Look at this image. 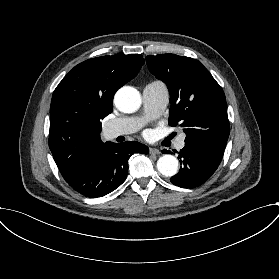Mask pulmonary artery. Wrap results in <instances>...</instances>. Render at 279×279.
<instances>
[{
	"instance_id": "1",
	"label": "pulmonary artery",
	"mask_w": 279,
	"mask_h": 279,
	"mask_svg": "<svg viewBox=\"0 0 279 279\" xmlns=\"http://www.w3.org/2000/svg\"><path fill=\"white\" fill-rule=\"evenodd\" d=\"M169 90L161 80H154L148 83L142 92L144 116L126 117L108 124L105 127V134L109 138L127 135L140 129L148 120L159 117L169 102ZM185 135L181 134L177 141L179 149L184 147Z\"/></svg>"
}]
</instances>
